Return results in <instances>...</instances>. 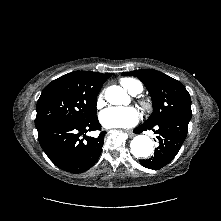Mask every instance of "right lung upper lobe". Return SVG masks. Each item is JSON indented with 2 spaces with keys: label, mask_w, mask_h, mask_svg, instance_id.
Here are the masks:
<instances>
[{
  "label": "right lung upper lobe",
  "mask_w": 221,
  "mask_h": 221,
  "mask_svg": "<svg viewBox=\"0 0 221 221\" xmlns=\"http://www.w3.org/2000/svg\"><path fill=\"white\" fill-rule=\"evenodd\" d=\"M65 76L73 79L84 89L93 93H99L103 83L111 76V74H102L90 71H74L66 74Z\"/></svg>",
  "instance_id": "cb5924a9"
}]
</instances>
